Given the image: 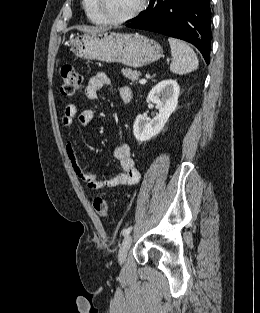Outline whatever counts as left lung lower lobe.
<instances>
[{
	"mask_svg": "<svg viewBox=\"0 0 260 313\" xmlns=\"http://www.w3.org/2000/svg\"><path fill=\"white\" fill-rule=\"evenodd\" d=\"M210 0H151L127 27L149 30L188 41L210 59Z\"/></svg>",
	"mask_w": 260,
	"mask_h": 313,
	"instance_id": "left-lung-lower-lobe-1",
	"label": "left lung lower lobe"
}]
</instances>
